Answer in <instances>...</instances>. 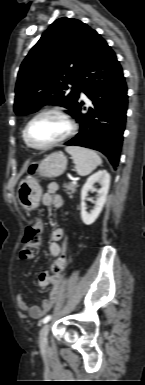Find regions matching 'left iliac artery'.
<instances>
[{
  "instance_id": "obj_1",
  "label": "left iliac artery",
  "mask_w": 145,
  "mask_h": 385,
  "mask_svg": "<svg viewBox=\"0 0 145 385\" xmlns=\"http://www.w3.org/2000/svg\"><path fill=\"white\" fill-rule=\"evenodd\" d=\"M51 319V315H47L46 317L43 318L42 322L45 324Z\"/></svg>"
}]
</instances>
